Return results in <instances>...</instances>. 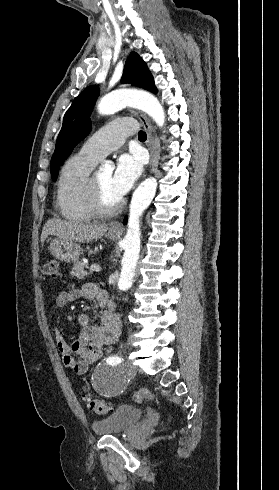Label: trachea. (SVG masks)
<instances>
[{
    "label": "trachea",
    "mask_w": 279,
    "mask_h": 490,
    "mask_svg": "<svg viewBox=\"0 0 279 490\" xmlns=\"http://www.w3.org/2000/svg\"><path fill=\"white\" fill-rule=\"evenodd\" d=\"M138 139L140 141H145L146 140V133L145 132H142V131H139V133H138Z\"/></svg>",
    "instance_id": "1"
}]
</instances>
